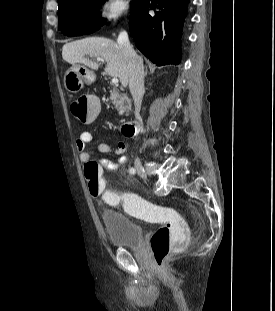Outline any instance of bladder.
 <instances>
[{"label":"bladder","mask_w":275,"mask_h":311,"mask_svg":"<svg viewBox=\"0 0 275 311\" xmlns=\"http://www.w3.org/2000/svg\"><path fill=\"white\" fill-rule=\"evenodd\" d=\"M100 219L113 247L138 249L142 246L141 226L125 213L115 209H103L100 212Z\"/></svg>","instance_id":"bladder-1"}]
</instances>
